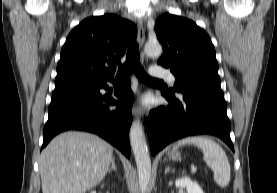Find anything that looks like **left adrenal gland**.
Returning <instances> with one entry per match:
<instances>
[{
  "instance_id": "1",
  "label": "left adrenal gland",
  "mask_w": 277,
  "mask_h": 193,
  "mask_svg": "<svg viewBox=\"0 0 277 193\" xmlns=\"http://www.w3.org/2000/svg\"><path fill=\"white\" fill-rule=\"evenodd\" d=\"M170 171H171L170 166H167L166 169H165V174H167Z\"/></svg>"
}]
</instances>
